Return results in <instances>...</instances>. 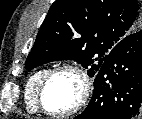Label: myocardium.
Here are the masks:
<instances>
[{
  "label": "myocardium",
  "mask_w": 142,
  "mask_h": 119,
  "mask_svg": "<svg viewBox=\"0 0 142 119\" xmlns=\"http://www.w3.org/2000/svg\"><path fill=\"white\" fill-rule=\"evenodd\" d=\"M65 71L74 73L80 80L81 90H80L78 101L72 108L66 111H62V112L51 111L47 109L44 104V92H45L46 86L54 75L60 72H65ZM91 93H92V79L88 71L78 64L64 63L48 70V72L45 74L41 83L39 84L37 95H36V101H37V106L39 110L46 115L53 116V117H69V116L75 115L87 105L90 99Z\"/></svg>",
  "instance_id": "myocardium-1"
}]
</instances>
